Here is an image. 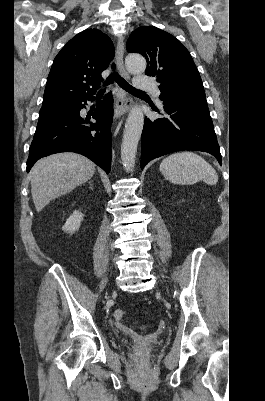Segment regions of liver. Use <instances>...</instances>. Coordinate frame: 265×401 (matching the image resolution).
Listing matches in <instances>:
<instances>
[{"label":"liver","mask_w":265,"mask_h":401,"mask_svg":"<svg viewBox=\"0 0 265 401\" xmlns=\"http://www.w3.org/2000/svg\"><path fill=\"white\" fill-rule=\"evenodd\" d=\"M94 172L95 164L75 152H59L37 160L30 172L31 194L37 213H41L53 198L89 180Z\"/></svg>","instance_id":"1"}]
</instances>
